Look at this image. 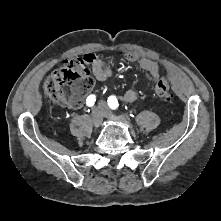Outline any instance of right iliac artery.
Listing matches in <instances>:
<instances>
[{"label":"right iliac artery","mask_w":221,"mask_h":221,"mask_svg":"<svg viewBox=\"0 0 221 221\" xmlns=\"http://www.w3.org/2000/svg\"><path fill=\"white\" fill-rule=\"evenodd\" d=\"M95 101H96V96L91 94L86 99V105L88 107H92L94 105Z\"/></svg>","instance_id":"right-iliac-artery-1"}]
</instances>
